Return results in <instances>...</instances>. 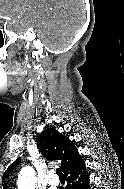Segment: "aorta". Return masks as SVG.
I'll return each instance as SVG.
<instances>
[{"label":"aorta","mask_w":124,"mask_h":189,"mask_svg":"<svg viewBox=\"0 0 124 189\" xmlns=\"http://www.w3.org/2000/svg\"><path fill=\"white\" fill-rule=\"evenodd\" d=\"M18 189H35V171L32 167H23L17 179Z\"/></svg>","instance_id":"aorta-1"}]
</instances>
